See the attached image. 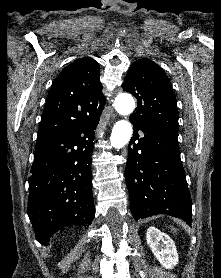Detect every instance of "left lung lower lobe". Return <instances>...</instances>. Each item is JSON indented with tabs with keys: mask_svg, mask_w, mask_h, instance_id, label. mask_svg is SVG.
Here are the masks:
<instances>
[{
	"mask_svg": "<svg viewBox=\"0 0 221 278\" xmlns=\"http://www.w3.org/2000/svg\"><path fill=\"white\" fill-rule=\"evenodd\" d=\"M125 180L135 220L157 214L178 217L190 225L192 201L180 159L178 131L151 130L131 118ZM138 130L144 133L139 138Z\"/></svg>",
	"mask_w": 221,
	"mask_h": 278,
	"instance_id": "obj_1",
	"label": "left lung lower lobe"
}]
</instances>
